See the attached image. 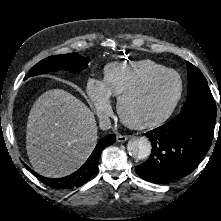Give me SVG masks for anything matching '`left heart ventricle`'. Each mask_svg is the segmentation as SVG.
<instances>
[{
	"mask_svg": "<svg viewBox=\"0 0 221 221\" xmlns=\"http://www.w3.org/2000/svg\"><path fill=\"white\" fill-rule=\"evenodd\" d=\"M178 79L169 74L155 81L146 91L130 100L127 113L134 119L154 117L165 110L178 92Z\"/></svg>",
	"mask_w": 221,
	"mask_h": 221,
	"instance_id": "b2bd125f",
	"label": "left heart ventricle"
}]
</instances>
